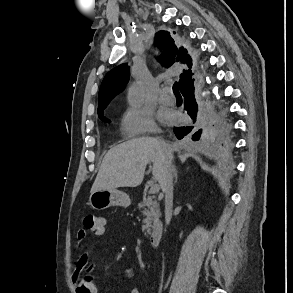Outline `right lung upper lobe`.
Returning a JSON list of instances; mask_svg holds the SVG:
<instances>
[{
	"instance_id": "right-lung-upper-lobe-1",
	"label": "right lung upper lobe",
	"mask_w": 293,
	"mask_h": 293,
	"mask_svg": "<svg viewBox=\"0 0 293 293\" xmlns=\"http://www.w3.org/2000/svg\"><path fill=\"white\" fill-rule=\"evenodd\" d=\"M155 44L163 50V54L160 58L163 66L170 67L173 63L180 61L191 68V57L183 47L177 48L168 31L161 30L157 32L155 36ZM129 75V66H127V64H122L106 74L99 90V116H103V110L106 108L110 100L123 89L124 85L129 80ZM191 79L192 71L190 69L184 70V73L180 75L179 87L181 88Z\"/></svg>"
}]
</instances>
